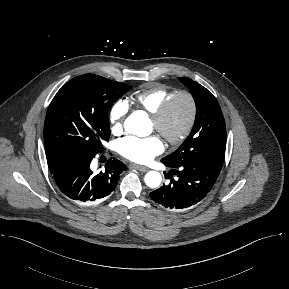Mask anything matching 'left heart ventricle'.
<instances>
[{
	"mask_svg": "<svg viewBox=\"0 0 289 289\" xmlns=\"http://www.w3.org/2000/svg\"><path fill=\"white\" fill-rule=\"evenodd\" d=\"M190 114V105L187 99L181 98L174 105L171 110L164 128L169 135L178 134L185 126ZM151 126L155 129V125L152 121Z\"/></svg>",
	"mask_w": 289,
	"mask_h": 289,
	"instance_id": "left-heart-ventricle-1",
	"label": "left heart ventricle"
}]
</instances>
